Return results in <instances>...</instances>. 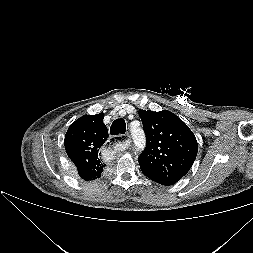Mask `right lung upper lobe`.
Wrapping results in <instances>:
<instances>
[{
    "label": "right lung upper lobe",
    "instance_id": "cb5924a9",
    "mask_svg": "<svg viewBox=\"0 0 253 253\" xmlns=\"http://www.w3.org/2000/svg\"><path fill=\"white\" fill-rule=\"evenodd\" d=\"M103 118V113L84 115L70 125L65 135L67 155L85 181L100 178L106 167L99 157V149L108 138Z\"/></svg>",
    "mask_w": 253,
    "mask_h": 253
}]
</instances>
